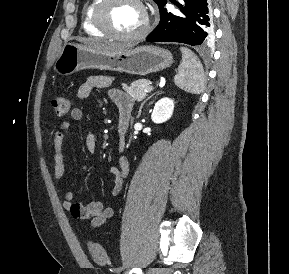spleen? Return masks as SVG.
<instances>
[{
	"label": "spleen",
	"mask_w": 289,
	"mask_h": 274,
	"mask_svg": "<svg viewBox=\"0 0 289 274\" xmlns=\"http://www.w3.org/2000/svg\"><path fill=\"white\" fill-rule=\"evenodd\" d=\"M182 61L174 77L175 84L182 90L199 94L204 89V70L198 57L188 48L181 47Z\"/></svg>",
	"instance_id": "spleen-1"
}]
</instances>
